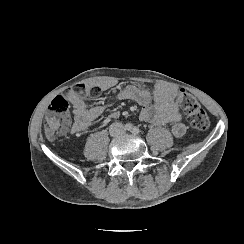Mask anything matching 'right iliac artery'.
<instances>
[{
  "label": "right iliac artery",
  "mask_w": 244,
  "mask_h": 244,
  "mask_svg": "<svg viewBox=\"0 0 244 244\" xmlns=\"http://www.w3.org/2000/svg\"><path fill=\"white\" fill-rule=\"evenodd\" d=\"M125 129L128 130V131L132 130V129H133L132 124H131V123H127V124L125 125Z\"/></svg>",
  "instance_id": "right-iliac-artery-1"
}]
</instances>
